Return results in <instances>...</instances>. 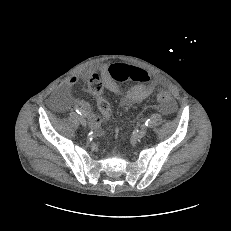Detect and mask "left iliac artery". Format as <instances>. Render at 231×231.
I'll return each instance as SVG.
<instances>
[{
	"mask_svg": "<svg viewBox=\"0 0 231 231\" xmlns=\"http://www.w3.org/2000/svg\"><path fill=\"white\" fill-rule=\"evenodd\" d=\"M150 125H151V120L147 119L146 122H145V126L149 127Z\"/></svg>",
	"mask_w": 231,
	"mask_h": 231,
	"instance_id": "44dca946",
	"label": "left iliac artery"
}]
</instances>
